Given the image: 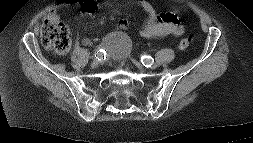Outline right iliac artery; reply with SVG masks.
Wrapping results in <instances>:
<instances>
[{
  "mask_svg": "<svg viewBox=\"0 0 253 143\" xmlns=\"http://www.w3.org/2000/svg\"><path fill=\"white\" fill-rule=\"evenodd\" d=\"M101 52H103L102 49H100L96 52V54H95L96 59L100 60V58H102L103 54Z\"/></svg>",
  "mask_w": 253,
  "mask_h": 143,
  "instance_id": "obj_1",
  "label": "right iliac artery"
}]
</instances>
